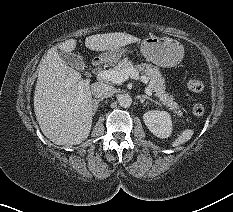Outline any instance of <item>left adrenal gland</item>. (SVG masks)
<instances>
[{"label":"left adrenal gland","mask_w":233,"mask_h":212,"mask_svg":"<svg viewBox=\"0 0 233 212\" xmlns=\"http://www.w3.org/2000/svg\"><path fill=\"white\" fill-rule=\"evenodd\" d=\"M142 99H143V100L147 99V100H150L151 102H154L155 104H159L158 101L153 100L151 97H149V96H147V95H143V96H142Z\"/></svg>","instance_id":"a2214340"}]
</instances>
